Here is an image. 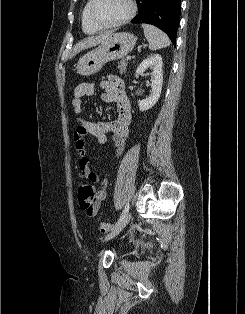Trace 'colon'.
Instances as JSON below:
<instances>
[{
    "mask_svg": "<svg viewBox=\"0 0 245 314\" xmlns=\"http://www.w3.org/2000/svg\"><path fill=\"white\" fill-rule=\"evenodd\" d=\"M78 201L82 210L87 214H91L94 210L95 203V188L91 184L83 183L78 187ZM111 223L101 222L99 228L101 232H109L112 228ZM144 246L149 247L150 244H145Z\"/></svg>",
    "mask_w": 245,
    "mask_h": 314,
    "instance_id": "1",
    "label": "colon"
}]
</instances>
